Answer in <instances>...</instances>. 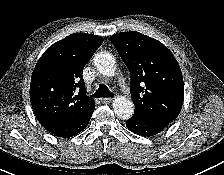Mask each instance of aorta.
Returning <instances> with one entry per match:
<instances>
[{"mask_svg":"<svg viewBox=\"0 0 224 175\" xmlns=\"http://www.w3.org/2000/svg\"><path fill=\"white\" fill-rule=\"evenodd\" d=\"M96 69L104 76H113L116 71V60L114 56L108 52H98L94 59ZM114 113L121 119L127 120L132 117L134 113L133 102L124 97L118 96L113 101Z\"/></svg>","mask_w":224,"mask_h":175,"instance_id":"1","label":"aorta"}]
</instances>
